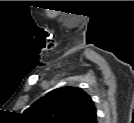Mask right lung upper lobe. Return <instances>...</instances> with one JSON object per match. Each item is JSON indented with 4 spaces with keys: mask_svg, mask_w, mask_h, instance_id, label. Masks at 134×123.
Returning a JSON list of instances; mask_svg holds the SVG:
<instances>
[{
    "mask_svg": "<svg viewBox=\"0 0 134 123\" xmlns=\"http://www.w3.org/2000/svg\"><path fill=\"white\" fill-rule=\"evenodd\" d=\"M24 117L32 123H97L91 97L70 86L41 97L24 111Z\"/></svg>",
    "mask_w": 134,
    "mask_h": 123,
    "instance_id": "right-lung-upper-lobe-1",
    "label": "right lung upper lobe"
}]
</instances>
